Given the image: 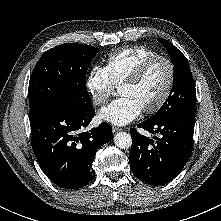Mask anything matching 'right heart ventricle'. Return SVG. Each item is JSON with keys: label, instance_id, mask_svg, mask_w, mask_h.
<instances>
[{"label": "right heart ventricle", "instance_id": "1", "mask_svg": "<svg viewBox=\"0 0 221 221\" xmlns=\"http://www.w3.org/2000/svg\"><path fill=\"white\" fill-rule=\"evenodd\" d=\"M158 53L146 46H132L111 52L107 57V69L113 82L118 85L126 80L132 72L147 58Z\"/></svg>", "mask_w": 221, "mask_h": 221}]
</instances>
